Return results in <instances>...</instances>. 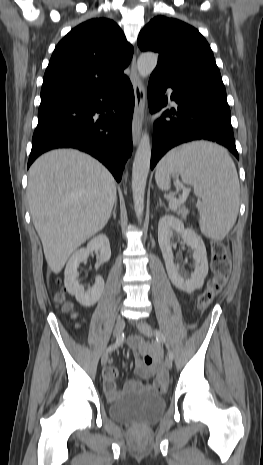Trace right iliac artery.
Returning <instances> with one entry per match:
<instances>
[{
    "mask_svg": "<svg viewBox=\"0 0 263 465\" xmlns=\"http://www.w3.org/2000/svg\"><path fill=\"white\" fill-rule=\"evenodd\" d=\"M124 340H125V335H124V334H121V335L116 339V342L107 348V351H108V352H112L113 350H115L116 348H118L120 345H122V344L124 343Z\"/></svg>",
    "mask_w": 263,
    "mask_h": 465,
    "instance_id": "82829eb1",
    "label": "right iliac artery"
}]
</instances>
